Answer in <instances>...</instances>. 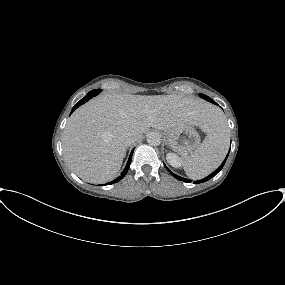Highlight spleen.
<instances>
[{
  "label": "spleen",
  "mask_w": 285,
  "mask_h": 285,
  "mask_svg": "<svg viewBox=\"0 0 285 285\" xmlns=\"http://www.w3.org/2000/svg\"><path fill=\"white\" fill-rule=\"evenodd\" d=\"M230 145V134L226 119L219 112L215 127L210 130L190 156H183L181 161L184 171L191 179H201L209 175L224 160Z\"/></svg>",
  "instance_id": "spleen-1"
}]
</instances>
